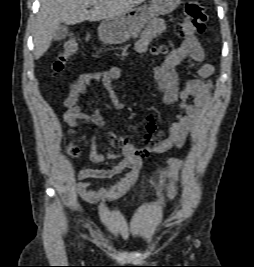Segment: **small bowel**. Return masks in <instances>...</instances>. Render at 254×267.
<instances>
[{
  "label": "small bowel",
  "mask_w": 254,
  "mask_h": 267,
  "mask_svg": "<svg viewBox=\"0 0 254 267\" xmlns=\"http://www.w3.org/2000/svg\"><path fill=\"white\" fill-rule=\"evenodd\" d=\"M166 27V21L156 18L145 29L141 39L137 42L138 51H145L150 42ZM204 50L194 37H188L183 43L173 50L166 60L159 66L153 67L152 72L162 93V101L166 105L178 103L181 110L175 116V121L169 127L168 136L157 142L153 136L157 125L152 116L145 118L146 135L144 146L136 148L128 137L119 139V151L107 154L98 151L97 138L91 140L89 159L93 163H101L105 160L119 159L117 165L108 169L86 168L79 170L76 178V191L79 196L88 203H106L118 200L137 182L144 158L149 154H161L172 148L184 146L187 136L200 123L211 97L212 83L209 78L214 73V67L204 61ZM185 60H191L197 64V78H181L177 67ZM121 76L118 67H112L104 72L83 73L72 84L69 94L64 101V121L72 126H95L103 130L109 137H113V131L95 110L93 113H84L79 105L82 95L92 82H100L106 90L110 104L115 110L124 107L114 81ZM129 171V174L117 182L109 191L91 189L84 182L85 179H104Z\"/></svg>",
  "instance_id": "small-bowel-1"
}]
</instances>
